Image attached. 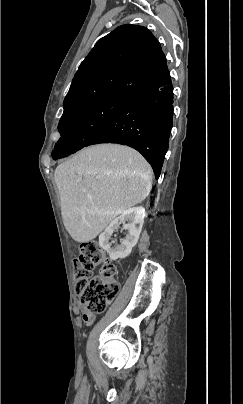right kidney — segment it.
I'll use <instances>...</instances> for the list:
<instances>
[{
    "label": "right kidney",
    "instance_id": "obj_1",
    "mask_svg": "<svg viewBox=\"0 0 243 404\" xmlns=\"http://www.w3.org/2000/svg\"><path fill=\"white\" fill-rule=\"evenodd\" d=\"M144 218L145 210L142 206H139V208H129L121 216L115 218L108 228H105L103 234H100L99 246L108 252L110 260H119V258L123 260V258H127L131 254L133 246H136L139 240ZM121 224H123L124 230H127V234L124 240H121L119 246H112L109 240L113 232H116Z\"/></svg>",
    "mask_w": 243,
    "mask_h": 404
}]
</instances>
